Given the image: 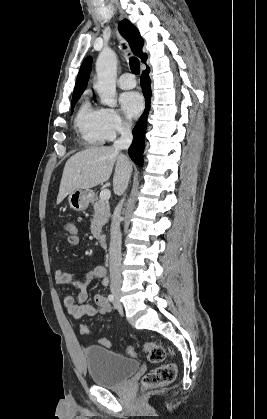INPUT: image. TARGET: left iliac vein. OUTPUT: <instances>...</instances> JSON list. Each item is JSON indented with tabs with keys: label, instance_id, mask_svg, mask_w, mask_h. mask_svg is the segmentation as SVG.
Segmentation results:
<instances>
[{
	"label": "left iliac vein",
	"instance_id": "1",
	"mask_svg": "<svg viewBox=\"0 0 267 419\" xmlns=\"http://www.w3.org/2000/svg\"><path fill=\"white\" fill-rule=\"evenodd\" d=\"M114 307H115V308H119V307H120V304H119L118 300H116V301H115V303H114Z\"/></svg>",
	"mask_w": 267,
	"mask_h": 419
}]
</instances>
